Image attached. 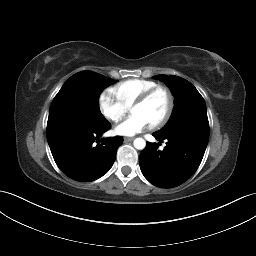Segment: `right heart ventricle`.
Here are the masks:
<instances>
[{
    "label": "right heart ventricle",
    "instance_id": "1",
    "mask_svg": "<svg viewBox=\"0 0 256 256\" xmlns=\"http://www.w3.org/2000/svg\"><path fill=\"white\" fill-rule=\"evenodd\" d=\"M157 85L156 82L151 80L137 78L129 79L113 86L110 88L109 92L117 101L128 109L140 95Z\"/></svg>",
    "mask_w": 256,
    "mask_h": 256
}]
</instances>
